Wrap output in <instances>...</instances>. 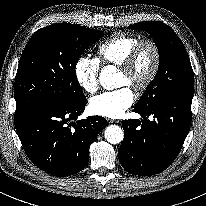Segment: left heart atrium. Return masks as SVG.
I'll return each mask as SVG.
<instances>
[{
    "instance_id": "39dd6f15",
    "label": "left heart atrium",
    "mask_w": 206,
    "mask_h": 206,
    "mask_svg": "<svg viewBox=\"0 0 206 206\" xmlns=\"http://www.w3.org/2000/svg\"><path fill=\"white\" fill-rule=\"evenodd\" d=\"M135 101L131 88L124 86L118 90L104 92L93 97L89 103L91 113L106 118H119Z\"/></svg>"
}]
</instances>
